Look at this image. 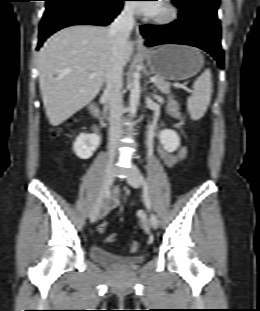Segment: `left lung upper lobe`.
Segmentation results:
<instances>
[{
	"label": "left lung upper lobe",
	"mask_w": 260,
	"mask_h": 311,
	"mask_svg": "<svg viewBox=\"0 0 260 311\" xmlns=\"http://www.w3.org/2000/svg\"><path fill=\"white\" fill-rule=\"evenodd\" d=\"M180 9V15L203 14L215 21L219 0H172Z\"/></svg>",
	"instance_id": "left-lung-upper-lobe-1"
}]
</instances>
